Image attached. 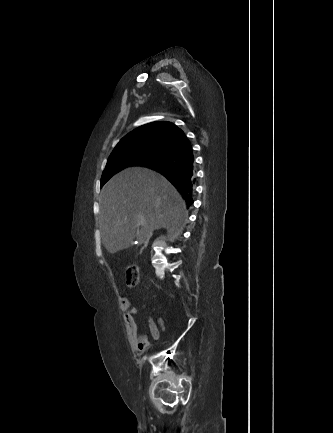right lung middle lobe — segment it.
<instances>
[{
	"instance_id": "right-lung-middle-lobe-1",
	"label": "right lung middle lobe",
	"mask_w": 333,
	"mask_h": 433,
	"mask_svg": "<svg viewBox=\"0 0 333 433\" xmlns=\"http://www.w3.org/2000/svg\"><path fill=\"white\" fill-rule=\"evenodd\" d=\"M171 152L161 147L126 146L115 148L103 171L101 187L120 170L135 165L146 166L167 157Z\"/></svg>"
}]
</instances>
